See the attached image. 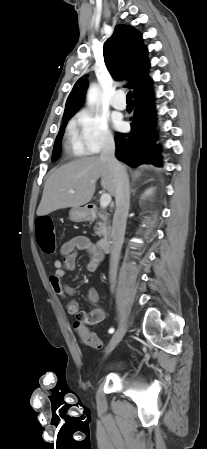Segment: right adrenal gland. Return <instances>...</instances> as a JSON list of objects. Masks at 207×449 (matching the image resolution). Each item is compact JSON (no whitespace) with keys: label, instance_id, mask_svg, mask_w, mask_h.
Masks as SVG:
<instances>
[{"label":"right adrenal gland","instance_id":"1","mask_svg":"<svg viewBox=\"0 0 207 449\" xmlns=\"http://www.w3.org/2000/svg\"><path fill=\"white\" fill-rule=\"evenodd\" d=\"M132 193H133V194L135 193V190H134V189H132Z\"/></svg>","mask_w":207,"mask_h":449}]
</instances>
